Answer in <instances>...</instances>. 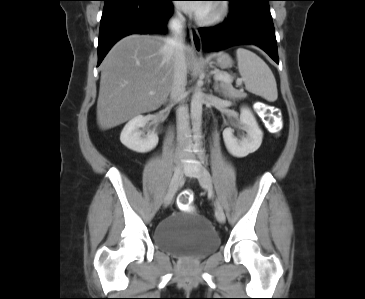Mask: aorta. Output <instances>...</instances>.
Returning a JSON list of instances; mask_svg holds the SVG:
<instances>
[{
    "instance_id": "762f6f07",
    "label": "aorta",
    "mask_w": 365,
    "mask_h": 299,
    "mask_svg": "<svg viewBox=\"0 0 365 299\" xmlns=\"http://www.w3.org/2000/svg\"><path fill=\"white\" fill-rule=\"evenodd\" d=\"M203 92L201 87L198 85L191 99V119L193 124V131L198 141H200L201 134V120H202V106H203Z\"/></svg>"
}]
</instances>
